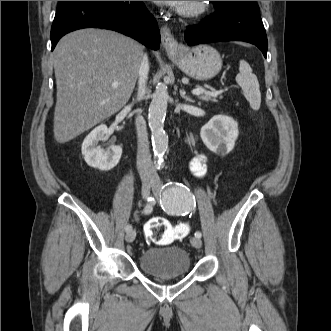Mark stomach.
Instances as JSON below:
<instances>
[{"instance_id":"1","label":"stomach","mask_w":331,"mask_h":331,"mask_svg":"<svg viewBox=\"0 0 331 331\" xmlns=\"http://www.w3.org/2000/svg\"><path fill=\"white\" fill-rule=\"evenodd\" d=\"M171 59L185 74L201 81L213 78L222 67L219 52L207 44L184 47L171 55Z\"/></svg>"}]
</instances>
